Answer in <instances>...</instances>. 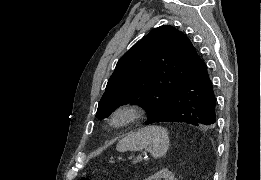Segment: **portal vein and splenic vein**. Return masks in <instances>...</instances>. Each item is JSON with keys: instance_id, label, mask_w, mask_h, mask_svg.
Segmentation results:
<instances>
[{"instance_id": "1", "label": "portal vein and splenic vein", "mask_w": 261, "mask_h": 180, "mask_svg": "<svg viewBox=\"0 0 261 180\" xmlns=\"http://www.w3.org/2000/svg\"><path fill=\"white\" fill-rule=\"evenodd\" d=\"M143 159V156L142 155H137L136 156V161H141Z\"/></svg>"}]
</instances>
